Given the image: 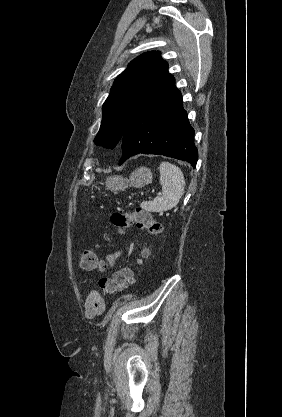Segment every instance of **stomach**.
I'll return each instance as SVG.
<instances>
[{"label": "stomach", "instance_id": "0dacf381", "mask_svg": "<svg viewBox=\"0 0 282 417\" xmlns=\"http://www.w3.org/2000/svg\"><path fill=\"white\" fill-rule=\"evenodd\" d=\"M153 172L147 166H140L136 168L129 178L121 176V174H112V176H107L104 184H106L108 190L112 192H119V190H125L128 186H136V188H142L145 184L152 182Z\"/></svg>", "mask_w": 282, "mask_h": 417}]
</instances>
